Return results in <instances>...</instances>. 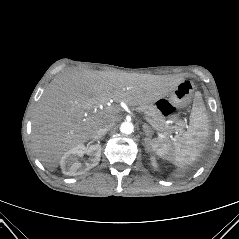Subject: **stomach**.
<instances>
[{"label":"stomach","mask_w":239,"mask_h":239,"mask_svg":"<svg viewBox=\"0 0 239 239\" xmlns=\"http://www.w3.org/2000/svg\"><path fill=\"white\" fill-rule=\"evenodd\" d=\"M194 88L190 80H182L170 91L169 98L161 97L155 103L167 118L175 120L180 109L190 102Z\"/></svg>","instance_id":"obj_1"}]
</instances>
